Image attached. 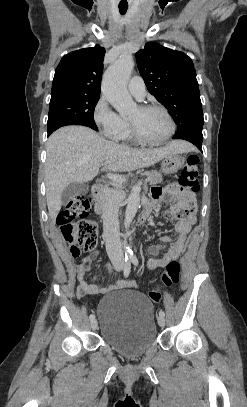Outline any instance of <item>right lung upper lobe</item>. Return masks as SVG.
<instances>
[{"label":"right lung upper lobe","instance_id":"cb5924a9","mask_svg":"<svg viewBox=\"0 0 247 407\" xmlns=\"http://www.w3.org/2000/svg\"><path fill=\"white\" fill-rule=\"evenodd\" d=\"M105 49L84 48L65 55L55 72L51 96L63 93L100 95Z\"/></svg>","mask_w":247,"mask_h":407}]
</instances>
